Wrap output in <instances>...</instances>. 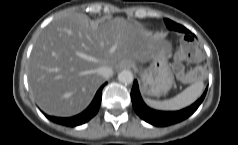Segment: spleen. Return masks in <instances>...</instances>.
Segmentation results:
<instances>
[{
  "label": "spleen",
  "instance_id": "obj_1",
  "mask_svg": "<svg viewBox=\"0 0 238 145\" xmlns=\"http://www.w3.org/2000/svg\"><path fill=\"white\" fill-rule=\"evenodd\" d=\"M203 90L204 83L202 80H198L171 99L164 101L145 99V102L150 107L159 110H179L195 102L201 96Z\"/></svg>",
  "mask_w": 238,
  "mask_h": 145
}]
</instances>
